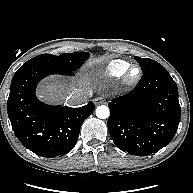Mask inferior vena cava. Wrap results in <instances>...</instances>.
Returning a JSON list of instances; mask_svg holds the SVG:
<instances>
[{
  "label": "inferior vena cava",
  "mask_w": 193,
  "mask_h": 193,
  "mask_svg": "<svg viewBox=\"0 0 193 193\" xmlns=\"http://www.w3.org/2000/svg\"><path fill=\"white\" fill-rule=\"evenodd\" d=\"M89 95H86L82 90H77L69 95L67 98L68 103L72 106H79L87 103Z\"/></svg>",
  "instance_id": "inferior-vena-cava-1"
}]
</instances>
